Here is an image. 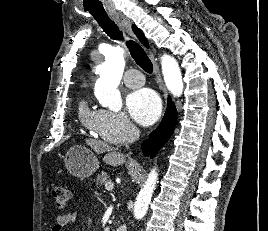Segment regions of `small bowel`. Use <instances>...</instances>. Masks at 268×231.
Returning a JSON list of instances; mask_svg holds the SVG:
<instances>
[{
	"mask_svg": "<svg viewBox=\"0 0 268 231\" xmlns=\"http://www.w3.org/2000/svg\"><path fill=\"white\" fill-rule=\"evenodd\" d=\"M78 213L69 211L64 214L57 215L52 231H62L65 227L71 226L77 222Z\"/></svg>",
	"mask_w": 268,
	"mask_h": 231,
	"instance_id": "obj_1",
	"label": "small bowel"
}]
</instances>
